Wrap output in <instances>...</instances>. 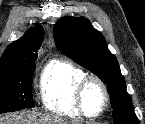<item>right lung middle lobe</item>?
Wrapping results in <instances>:
<instances>
[{"label": "right lung middle lobe", "instance_id": "obj_1", "mask_svg": "<svg viewBox=\"0 0 145 124\" xmlns=\"http://www.w3.org/2000/svg\"><path fill=\"white\" fill-rule=\"evenodd\" d=\"M35 63L13 71L0 72V113L34 107L32 77Z\"/></svg>", "mask_w": 145, "mask_h": 124}]
</instances>
